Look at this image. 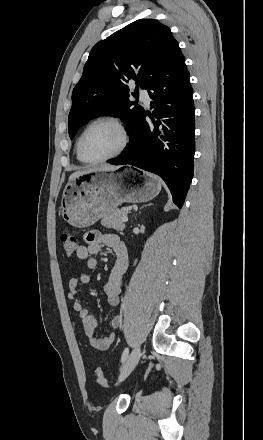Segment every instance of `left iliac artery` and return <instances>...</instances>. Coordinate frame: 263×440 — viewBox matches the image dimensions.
Masks as SVG:
<instances>
[{
    "label": "left iliac artery",
    "instance_id": "left-iliac-artery-1",
    "mask_svg": "<svg viewBox=\"0 0 263 440\" xmlns=\"http://www.w3.org/2000/svg\"><path fill=\"white\" fill-rule=\"evenodd\" d=\"M128 354H129V350H128V348H125V350L123 351L122 357H121V362H124L127 359Z\"/></svg>",
    "mask_w": 263,
    "mask_h": 440
}]
</instances>
